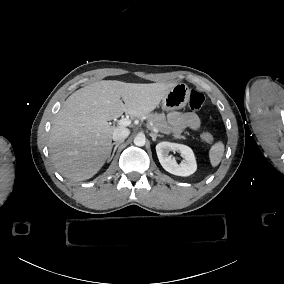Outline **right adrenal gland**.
<instances>
[{
    "label": "right adrenal gland",
    "instance_id": "1",
    "mask_svg": "<svg viewBox=\"0 0 284 284\" xmlns=\"http://www.w3.org/2000/svg\"><path fill=\"white\" fill-rule=\"evenodd\" d=\"M121 143H122V142H114V143L111 144V146H110V152H111V150H112L113 147H114V149H113V152H112L111 157L109 158L110 161L113 159L114 154H115V152H116L118 146H119Z\"/></svg>",
    "mask_w": 284,
    "mask_h": 284
}]
</instances>
